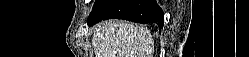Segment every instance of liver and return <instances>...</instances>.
<instances>
[{
	"instance_id": "6515ba94",
	"label": "liver",
	"mask_w": 249,
	"mask_h": 57,
	"mask_svg": "<svg viewBox=\"0 0 249 57\" xmlns=\"http://www.w3.org/2000/svg\"><path fill=\"white\" fill-rule=\"evenodd\" d=\"M95 57H153L154 41L147 28L119 20L94 27Z\"/></svg>"
}]
</instances>
